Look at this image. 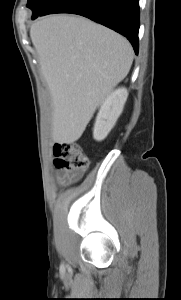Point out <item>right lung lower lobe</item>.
Returning <instances> with one entry per match:
<instances>
[{
  "label": "right lung lower lobe",
  "mask_w": 181,
  "mask_h": 300,
  "mask_svg": "<svg viewBox=\"0 0 181 300\" xmlns=\"http://www.w3.org/2000/svg\"><path fill=\"white\" fill-rule=\"evenodd\" d=\"M52 13L78 14L109 27L125 36L138 53L139 0H56L39 15Z\"/></svg>",
  "instance_id": "98d812e1"
}]
</instances>
